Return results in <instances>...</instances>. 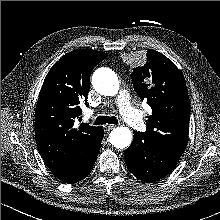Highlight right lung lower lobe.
I'll list each match as a JSON object with an SVG mask.
<instances>
[{
  "label": "right lung lower lobe",
  "mask_w": 220,
  "mask_h": 220,
  "mask_svg": "<svg viewBox=\"0 0 220 220\" xmlns=\"http://www.w3.org/2000/svg\"><path fill=\"white\" fill-rule=\"evenodd\" d=\"M102 139H103V128L100 127L98 136L96 137V139L91 147L90 153L88 154L87 159L83 162L81 168L77 172H75L67 177L60 178L59 180L65 182V183L71 184V183H76V182L84 179L91 172V170L93 168L96 157L98 155V151L101 147Z\"/></svg>",
  "instance_id": "right-lung-lower-lobe-1"
}]
</instances>
